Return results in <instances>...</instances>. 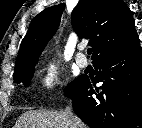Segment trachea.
Returning <instances> with one entry per match:
<instances>
[{
  "mask_svg": "<svg viewBox=\"0 0 142 128\" xmlns=\"http://www.w3.org/2000/svg\"><path fill=\"white\" fill-rule=\"evenodd\" d=\"M87 53H88V54H91V53H92V48H89V49L87 50Z\"/></svg>",
  "mask_w": 142,
  "mask_h": 128,
  "instance_id": "1",
  "label": "trachea"
}]
</instances>
